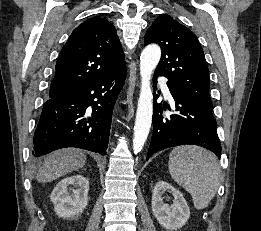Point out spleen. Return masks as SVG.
<instances>
[{
  "instance_id": "obj_1",
  "label": "spleen",
  "mask_w": 261,
  "mask_h": 231,
  "mask_svg": "<svg viewBox=\"0 0 261 231\" xmlns=\"http://www.w3.org/2000/svg\"><path fill=\"white\" fill-rule=\"evenodd\" d=\"M169 172L188 191L197 209L206 208L215 196L221 177L216 156L196 146H181L169 156Z\"/></svg>"
}]
</instances>
